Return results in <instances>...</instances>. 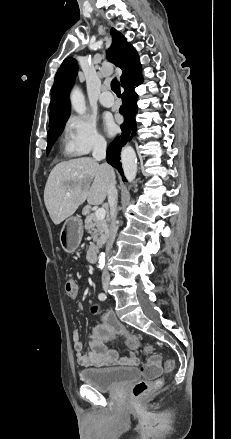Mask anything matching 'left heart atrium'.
<instances>
[{
	"label": "left heart atrium",
	"mask_w": 231,
	"mask_h": 439,
	"mask_svg": "<svg viewBox=\"0 0 231 439\" xmlns=\"http://www.w3.org/2000/svg\"><path fill=\"white\" fill-rule=\"evenodd\" d=\"M104 128L109 135H113L116 131V126L111 118L105 119Z\"/></svg>",
	"instance_id": "1"
}]
</instances>
